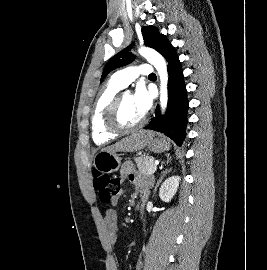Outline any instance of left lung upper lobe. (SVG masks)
Masks as SVG:
<instances>
[{
    "label": "left lung upper lobe",
    "instance_id": "obj_1",
    "mask_svg": "<svg viewBox=\"0 0 267 270\" xmlns=\"http://www.w3.org/2000/svg\"><path fill=\"white\" fill-rule=\"evenodd\" d=\"M142 36L146 46L158 51L162 56H165L168 50L172 47L169 41L163 34H159L156 27L147 26L142 28ZM131 46L123 49L114 55L106 64L101 80L112 70L131 63L135 56L130 52Z\"/></svg>",
    "mask_w": 267,
    "mask_h": 270
}]
</instances>
